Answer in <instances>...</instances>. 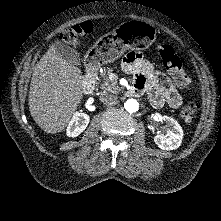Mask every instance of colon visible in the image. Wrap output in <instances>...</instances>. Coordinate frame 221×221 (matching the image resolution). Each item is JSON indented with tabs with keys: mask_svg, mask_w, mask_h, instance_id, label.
Segmentation results:
<instances>
[{
	"mask_svg": "<svg viewBox=\"0 0 221 221\" xmlns=\"http://www.w3.org/2000/svg\"><path fill=\"white\" fill-rule=\"evenodd\" d=\"M92 30V23L85 21L65 30L61 34L60 38L65 44L74 45L77 43L80 37L90 34ZM158 54L163 65L170 73L175 83L180 87H188L189 77L185 72L182 60L174 51V49L169 45L162 44L158 47ZM196 108V103L194 101H189L181 110V117L185 121H190L196 111Z\"/></svg>",
	"mask_w": 221,
	"mask_h": 221,
	"instance_id": "colon-1",
	"label": "colon"
}]
</instances>
